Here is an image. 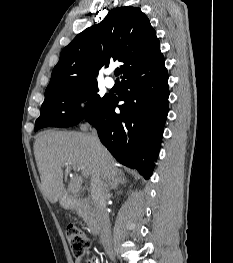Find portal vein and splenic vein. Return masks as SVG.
<instances>
[{
    "instance_id": "1",
    "label": "portal vein and splenic vein",
    "mask_w": 233,
    "mask_h": 263,
    "mask_svg": "<svg viewBox=\"0 0 233 263\" xmlns=\"http://www.w3.org/2000/svg\"><path fill=\"white\" fill-rule=\"evenodd\" d=\"M73 168H74L75 170H78V168H77L76 166H73Z\"/></svg>"
}]
</instances>
